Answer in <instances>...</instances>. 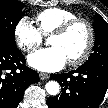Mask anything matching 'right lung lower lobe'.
Here are the masks:
<instances>
[{
	"mask_svg": "<svg viewBox=\"0 0 108 108\" xmlns=\"http://www.w3.org/2000/svg\"><path fill=\"white\" fill-rule=\"evenodd\" d=\"M38 80V73L25 66L16 46L0 44V108H17L25 89Z\"/></svg>",
	"mask_w": 108,
	"mask_h": 108,
	"instance_id": "1",
	"label": "right lung lower lobe"
}]
</instances>
